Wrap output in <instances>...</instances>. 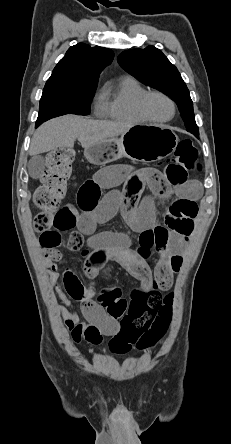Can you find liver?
Segmentation results:
<instances>
[{
    "label": "liver",
    "mask_w": 231,
    "mask_h": 444,
    "mask_svg": "<svg viewBox=\"0 0 231 444\" xmlns=\"http://www.w3.org/2000/svg\"><path fill=\"white\" fill-rule=\"evenodd\" d=\"M133 125L111 121L86 119L65 115L43 123L33 135L30 155L51 150L72 149L77 139L86 150L110 138L126 133Z\"/></svg>",
    "instance_id": "6515ba94"
}]
</instances>
